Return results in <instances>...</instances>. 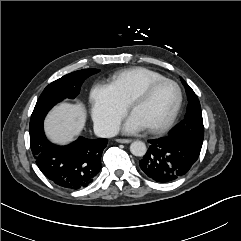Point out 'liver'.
<instances>
[{
    "label": "liver",
    "instance_id": "liver-1",
    "mask_svg": "<svg viewBox=\"0 0 241 241\" xmlns=\"http://www.w3.org/2000/svg\"><path fill=\"white\" fill-rule=\"evenodd\" d=\"M86 111L82 104L61 103L45 120V131L50 140L58 144L71 142L84 128Z\"/></svg>",
    "mask_w": 241,
    "mask_h": 241
}]
</instances>
